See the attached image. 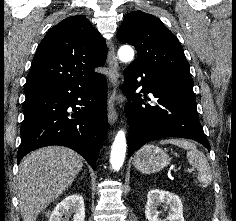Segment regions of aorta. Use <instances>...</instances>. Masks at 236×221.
<instances>
[{"label":"aorta","mask_w":236,"mask_h":221,"mask_svg":"<svg viewBox=\"0 0 236 221\" xmlns=\"http://www.w3.org/2000/svg\"><path fill=\"white\" fill-rule=\"evenodd\" d=\"M118 57L120 61L125 63L132 61L134 57V51L132 47L129 45L121 46L118 50ZM126 146L125 133L124 131L120 130L115 136L110 155L111 166L116 171H118L124 163Z\"/></svg>","instance_id":"1"}]
</instances>
